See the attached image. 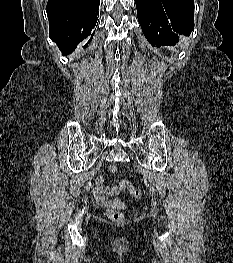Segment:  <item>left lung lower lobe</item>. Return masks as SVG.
I'll use <instances>...</instances> for the list:
<instances>
[{"mask_svg": "<svg viewBox=\"0 0 233 263\" xmlns=\"http://www.w3.org/2000/svg\"><path fill=\"white\" fill-rule=\"evenodd\" d=\"M140 26L152 46L175 45L194 29V0H135Z\"/></svg>", "mask_w": 233, "mask_h": 263, "instance_id": "0a47b994", "label": "left lung lower lobe"}]
</instances>
